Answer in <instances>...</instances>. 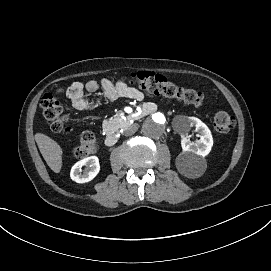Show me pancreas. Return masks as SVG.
<instances>
[{"label": "pancreas", "mask_w": 271, "mask_h": 271, "mask_svg": "<svg viewBox=\"0 0 271 271\" xmlns=\"http://www.w3.org/2000/svg\"><path fill=\"white\" fill-rule=\"evenodd\" d=\"M109 124L116 125V122L114 119L105 120L103 122V128L106 130Z\"/></svg>", "instance_id": "obj_1"}]
</instances>
